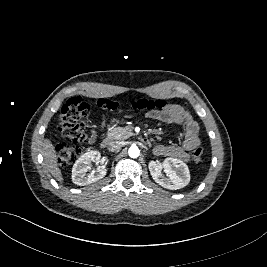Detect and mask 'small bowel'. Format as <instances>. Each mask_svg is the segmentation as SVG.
Wrapping results in <instances>:
<instances>
[{"label": "small bowel", "instance_id": "obj_1", "mask_svg": "<svg viewBox=\"0 0 267 267\" xmlns=\"http://www.w3.org/2000/svg\"><path fill=\"white\" fill-rule=\"evenodd\" d=\"M149 117L162 122L179 124L184 128L183 140L179 145H156L154 147L155 155L186 160L189 153L200 144L198 124L183 106L169 104L162 110L150 112ZM105 126L106 122L103 120L99 128L104 129ZM96 137L97 131L94 129L91 132V139Z\"/></svg>", "mask_w": 267, "mask_h": 267}]
</instances>
